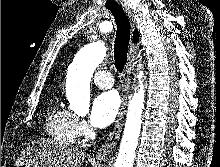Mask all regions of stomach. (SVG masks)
I'll return each instance as SVG.
<instances>
[{
    "mask_svg": "<svg viewBox=\"0 0 220 167\" xmlns=\"http://www.w3.org/2000/svg\"><path fill=\"white\" fill-rule=\"evenodd\" d=\"M15 167H33V166H29L26 162H21L20 164L15 165Z\"/></svg>",
    "mask_w": 220,
    "mask_h": 167,
    "instance_id": "stomach-1",
    "label": "stomach"
}]
</instances>
